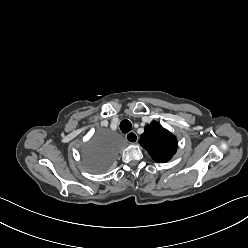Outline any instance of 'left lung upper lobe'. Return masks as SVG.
I'll list each match as a JSON object with an SVG mask.
<instances>
[{"label": "left lung upper lobe", "mask_w": 248, "mask_h": 248, "mask_svg": "<svg viewBox=\"0 0 248 248\" xmlns=\"http://www.w3.org/2000/svg\"><path fill=\"white\" fill-rule=\"evenodd\" d=\"M139 143L158 163L170 160L177 149L176 137L156 121L145 127Z\"/></svg>", "instance_id": "obj_1"}]
</instances>
